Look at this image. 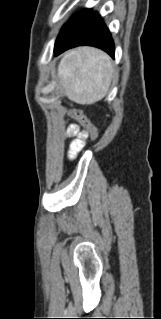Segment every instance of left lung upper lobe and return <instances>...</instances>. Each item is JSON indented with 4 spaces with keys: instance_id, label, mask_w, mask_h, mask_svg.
<instances>
[{
    "instance_id": "left-lung-upper-lobe-1",
    "label": "left lung upper lobe",
    "mask_w": 161,
    "mask_h": 319,
    "mask_svg": "<svg viewBox=\"0 0 161 319\" xmlns=\"http://www.w3.org/2000/svg\"><path fill=\"white\" fill-rule=\"evenodd\" d=\"M91 9H83L79 16L70 20L66 25L61 29L60 34L57 37V40L62 39L65 35H67L79 22H81L89 13Z\"/></svg>"
}]
</instances>
